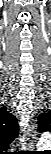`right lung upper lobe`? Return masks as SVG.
<instances>
[{"label": "right lung upper lobe", "mask_w": 51, "mask_h": 154, "mask_svg": "<svg viewBox=\"0 0 51 154\" xmlns=\"http://www.w3.org/2000/svg\"><path fill=\"white\" fill-rule=\"evenodd\" d=\"M3 119L4 122H6V126L8 127V130L11 133H14V131L16 130V121L15 118L12 114H10L8 111L3 112Z\"/></svg>", "instance_id": "right-lung-upper-lobe-1"}]
</instances>
